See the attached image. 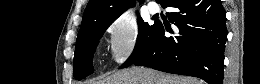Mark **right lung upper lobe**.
I'll use <instances>...</instances> for the list:
<instances>
[{
    "label": "right lung upper lobe",
    "instance_id": "1",
    "mask_svg": "<svg viewBox=\"0 0 260 84\" xmlns=\"http://www.w3.org/2000/svg\"><path fill=\"white\" fill-rule=\"evenodd\" d=\"M165 1L166 0H161V5H163ZM140 2H143V0ZM134 5L135 0H89L83 14L77 38L80 37L93 23L104 20H115L125 10Z\"/></svg>",
    "mask_w": 260,
    "mask_h": 84
}]
</instances>
